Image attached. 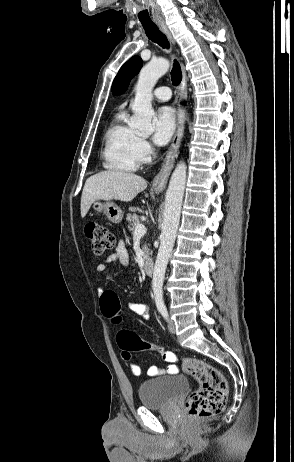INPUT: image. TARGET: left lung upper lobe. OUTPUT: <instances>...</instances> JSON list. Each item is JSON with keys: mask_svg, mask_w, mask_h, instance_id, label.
<instances>
[{"mask_svg": "<svg viewBox=\"0 0 294 462\" xmlns=\"http://www.w3.org/2000/svg\"><path fill=\"white\" fill-rule=\"evenodd\" d=\"M142 68V59L139 56L130 58L119 70L112 84L113 94H121L128 88L130 80Z\"/></svg>", "mask_w": 294, "mask_h": 462, "instance_id": "1", "label": "left lung upper lobe"}]
</instances>
